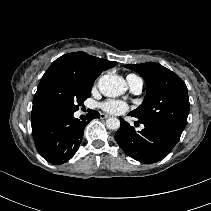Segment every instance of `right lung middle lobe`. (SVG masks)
Returning a JSON list of instances; mask_svg holds the SVG:
<instances>
[{
    "label": "right lung middle lobe",
    "mask_w": 211,
    "mask_h": 211,
    "mask_svg": "<svg viewBox=\"0 0 211 211\" xmlns=\"http://www.w3.org/2000/svg\"><path fill=\"white\" fill-rule=\"evenodd\" d=\"M92 86L71 77L51 79L41 93V112L44 117L74 113L91 96Z\"/></svg>",
    "instance_id": "right-lung-middle-lobe-1"
}]
</instances>
